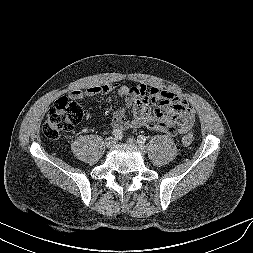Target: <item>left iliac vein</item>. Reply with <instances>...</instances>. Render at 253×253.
I'll return each mask as SVG.
<instances>
[{"label":"left iliac vein","mask_w":253,"mask_h":253,"mask_svg":"<svg viewBox=\"0 0 253 253\" xmlns=\"http://www.w3.org/2000/svg\"><path fill=\"white\" fill-rule=\"evenodd\" d=\"M127 143L134 147V148H137L140 152L142 153H145L146 149L143 145H141L138 141H136L135 139L133 138H128L127 139Z\"/></svg>","instance_id":"1"}]
</instances>
